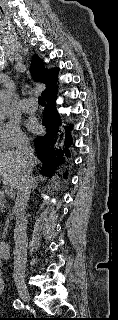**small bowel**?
Here are the masks:
<instances>
[{
  "label": "small bowel",
  "mask_w": 118,
  "mask_h": 320,
  "mask_svg": "<svg viewBox=\"0 0 118 320\" xmlns=\"http://www.w3.org/2000/svg\"><path fill=\"white\" fill-rule=\"evenodd\" d=\"M3 289H4V281L2 278V272L0 270V294L3 292Z\"/></svg>",
  "instance_id": "1"
}]
</instances>
